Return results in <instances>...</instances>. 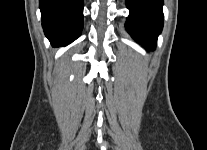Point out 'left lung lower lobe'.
Wrapping results in <instances>:
<instances>
[{
    "instance_id": "0a47b994",
    "label": "left lung lower lobe",
    "mask_w": 207,
    "mask_h": 150,
    "mask_svg": "<svg viewBox=\"0 0 207 150\" xmlns=\"http://www.w3.org/2000/svg\"><path fill=\"white\" fill-rule=\"evenodd\" d=\"M126 5V29L137 42L154 49L163 28V0H126Z\"/></svg>"
}]
</instances>
